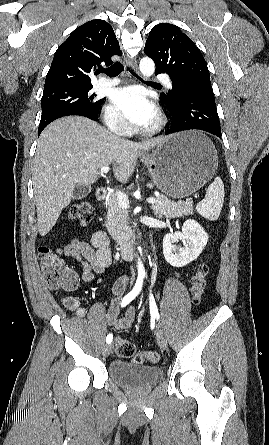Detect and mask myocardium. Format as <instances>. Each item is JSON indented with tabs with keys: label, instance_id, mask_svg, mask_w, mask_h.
<instances>
[{
	"label": "myocardium",
	"instance_id": "obj_1",
	"mask_svg": "<svg viewBox=\"0 0 269 445\" xmlns=\"http://www.w3.org/2000/svg\"><path fill=\"white\" fill-rule=\"evenodd\" d=\"M163 126H164V119L160 114H158L154 122L147 128L143 129L142 133L145 135H152L159 132L163 128Z\"/></svg>",
	"mask_w": 269,
	"mask_h": 445
}]
</instances>
